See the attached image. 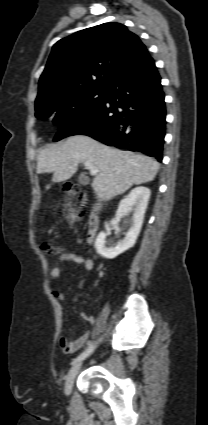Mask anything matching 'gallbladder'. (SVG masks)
Wrapping results in <instances>:
<instances>
[{
  "mask_svg": "<svg viewBox=\"0 0 208 425\" xmlns=\"http://www.w3.org/2000/svg\"><path fill=\"white\" fill-rule=\"evenodd\" d=\"M78 180L81 184H84V185L88 183V180L84 174H80Z\"/></svg>",
  "mask_w": 208,
  "mask_h": 425,
  "instance_id": "obj_1",
  "label": "gallbladder"
}]
</instances>
